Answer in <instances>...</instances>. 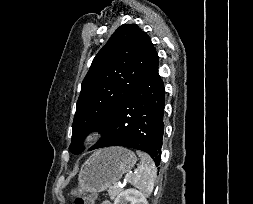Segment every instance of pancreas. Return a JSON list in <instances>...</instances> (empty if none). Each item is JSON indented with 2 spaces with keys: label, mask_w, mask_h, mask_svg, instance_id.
Masks as SVG:
<instances>
[{
  "label": "pancreas",
  "mask_w": 253,
  "mask_h": 204,
  "mask_svg": "<svg viewBox=\"0 0 253 204\" xmlns=\"http://www.w3.org/2000/svg\"><path fill=\"white\" fill-rule=\"evenodd\" d=\"M122 191V188L116 187L115 185L109 188L110 199H115V197Z\"/></svg>",
  "instance_id": "cf45deb5"
}]
</instances>
